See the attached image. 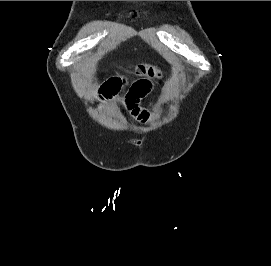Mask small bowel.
Wrapping results in <instances>:
<instances>
[{
  "mask_svg": "<svg viewBox=\"0 0 271 266\" xmlns=\"http://www.w3.org/2000/svg\"><path fill=\"white\" fill-rule=\"evenodd\" d=\"M123 85L119 77H110L103 82L97 90V99L99 101L110 100L117 95ZM152 89V83L148 79H141L134 82L124 97V107L130 115L137 121L146 122L152 115V111L145 109L140 105L141 100L149 94Z\"/></svg>",
  "mask_w": 271,
  "mask_h": 266,
  "instance_id": "c3829d8e",
  "label": "small bowel"
}]
</instances>
